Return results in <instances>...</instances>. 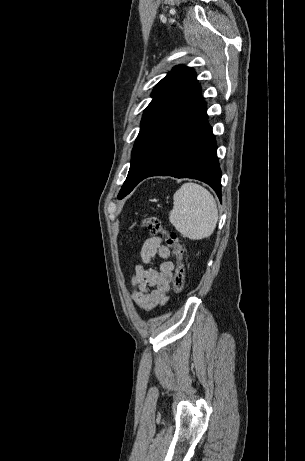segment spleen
<instances>
[{
  "instance_id": "spleen-1",
  "label": "spleen",
  "mask_w": 305,
  "mask_h": 461,
  "mask_svg": "<svg viewBox=\"0 0 305 461\" xmlns=\"http://www.w3.org/2000/svg\"><path fill=\"white\" fill-rule=\"evenodd\" d=\"M169 221L183 236L201 240L211 236L218 222L213 195L196 183H185L173 196Z\"/></svg>"
}]
</instances>
